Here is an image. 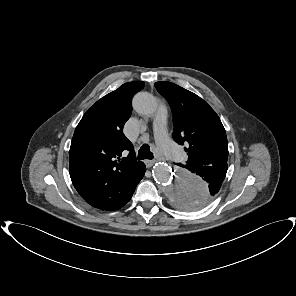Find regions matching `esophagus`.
<instances>
[{
  "label": "esophagus",
  "instance_id": "1",
  "mask_svg": "<svg viewBox=\"0 0 296 296\" xmlns=\"http://www.w3.org/2000/svg\"><path fill=\"white\" fill-rule=\"evenodd\" d=\"M144 163L147 168H150L154 165L155 161L154 160H145Z\"/></svg>",
  "mask_w": 296,
  "mask_h": 296
}]
</instances>
